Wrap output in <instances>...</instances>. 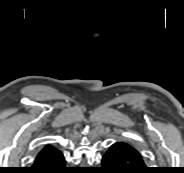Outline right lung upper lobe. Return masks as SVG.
<instances>
[{
	"label": "right lung upper lobe",
	"mask_w": 184,
	"mask_h": 173,
	"mask_svg": "<svg viewBox=\"0 0 184 173\" xmlns=\"http://www.w3.org/2000/svg\"><path fill=\"white\" fill-rule=\"evenodd\" d=\"M53 146H51V145H46L41 151H44V150H47V149H50V148H52Z\"/></svg>",
	"instance_id": "1"
}]
</instances>
